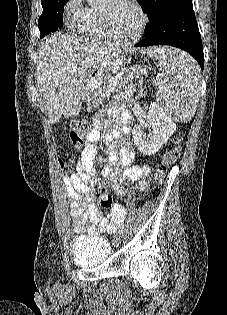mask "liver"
<instances>
[{"mask_svg": "<svg viewBox=\"0 0 227 315\" xmlns=\"http://www.w3.org/2000/svg\"><path fill=\"white\" fill-rule=\"evenodd\" d=\"M38 54L37 87L46 100L49 123L54 124L62 115L79 114L89 75L92 72L98 76L103 74L111 56L119 52L109 42L59 32L41 41Z\"/></svg>", "mask_w": 227, "mask_h": 315, "instance_id": "obj_1", "label": "liver"}]
</instances>
